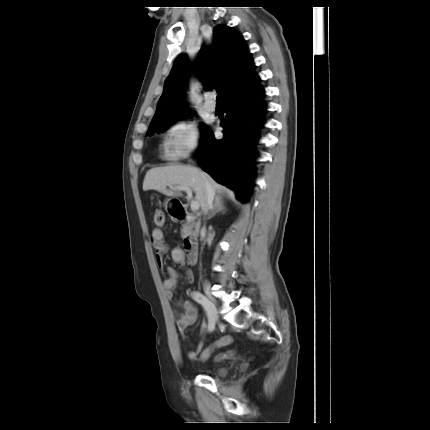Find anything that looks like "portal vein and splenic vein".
<instances>
[{
  "instance_id": "obj_1",
  "label": "portal vein and splenic vein",
  "mask_w": 430,
  "mask_h": 430,
  "mask_svg": "<svg viewBox=\"0 0 430 430\" xmlns=\"http://www.w3.org/2000/svg\"><path fill=\"white\" fill-rule=\"evenodd\" d=\"M171 189L173 190H182L185 191L188 195L189 198L192 197V190L189 187H184V186H170ZM199 209V203L196 200H191V210L196 211Z\"/></svg>"
}]
</instances>
